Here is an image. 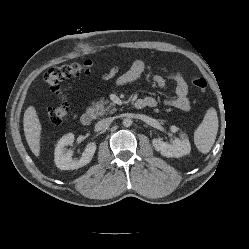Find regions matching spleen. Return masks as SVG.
Instances as JSON below:
<instances>
[{"instance_id": "1", "label": "spleen", "mask_w": 249, "mask_h": 249, "mask_svg": "<svg viewBox=\"0 0 249 249\" xmlns=\"http://www.w3.org/2000/svg\"><path fill=\"white\" fill-rule=\"evenodd\" d=\"M219 127L218 116L215 108H209L203 121L194 132V143L201 153H208L217 136Z\"/></svg>"}]
</instances>
